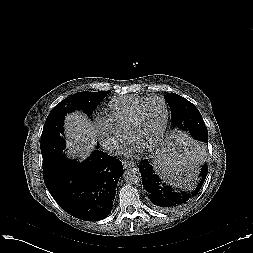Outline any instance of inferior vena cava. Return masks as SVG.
<instances>
[{
	"mask_svg": "<svg viewBox=\"0 0 253 253\" xmlns=\"http://www.w3.org/2000/svg\"><path fill=\"white\" fill-rule=\"evenodd\" d=\"M105 151L111 155H117L119 153V147L115 144L108 143L103 145Z\"/></svg>",
	"mask_w": 253,
	"mask_h": 253,
	"instance_id": "1",
	"label": "inferior vena cava"
}]
</instances>
